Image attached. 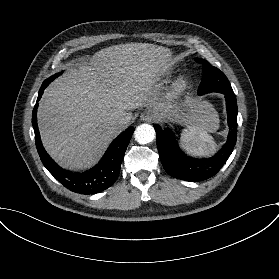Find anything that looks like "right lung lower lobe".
Returning <instances> with one entry per match:
<instances>
[{
	"instance_id": "right-lung-lower-lobe-1",
	"label": "right lung lower lobe",
	"mask_w": 279,
	"mask_h": 279,
	"mask_svg": "<svg viewBox=\"0 0 279 279\" xmlns=\"http://www.w3.org/2000/svg\"><path fill=\"white\" fill-rule=\"evenodd\" d=\"M50 82L45 80L39 90L37 102ZM36 103L32 113V125L35 132V144L43 165L67 189L79 194L90 195L104 191L117 180L120 165L130 142L134 127H129L109 146L102 160L93 168L82 173H73L59 167L45 151L37 125Z\"/></svg>"
}]
</instances>
